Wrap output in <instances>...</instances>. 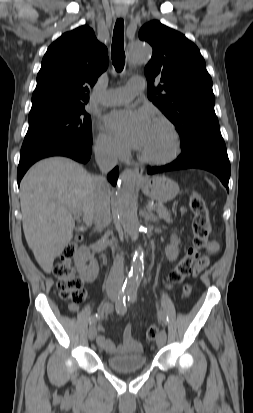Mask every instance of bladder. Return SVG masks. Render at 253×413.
<instances>
[{"instance_id": "1", "label": "bladder", "mask_w": 253, "mask_h": 413, "mask_svg": "<svg viewBox=\"0 0 253 413\" xmlns=\"http://www.w3.org/2000/svg\"><path fill=\"white\" fill-rule=\"evenodd\" d=\"M106 361L111 369L119 372L139 370L147 364V358L142 351L112 355Z\"/></svg>"}]
</instances>
